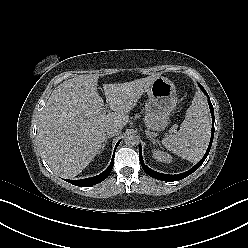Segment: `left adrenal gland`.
<instances>
[{"label": "left adrenal gland", "mask_w": 248, "mask_h": 248, "mask_svg": "<svg viewBox=\"0 0 248 248\" xmlns=\"http://www.w3.org/2000/svg\"><path fill=\"white\" fill-rule=\"evenodd\" d=\"M147 138L154 144L156 143V140L154 138H152L151 136H147Z\"/></svg>", "instance_id": "obj_1"}]
</instances>
